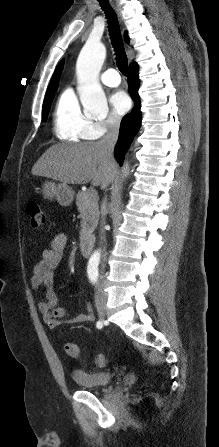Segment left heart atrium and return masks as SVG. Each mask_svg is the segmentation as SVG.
<instances>
[{
  "instance_id": "39dd6f15",
  "label": "left heart atrium",
  "mask_w": 219,
  "mask_h": 447,
  "mask_svg": "<svg viewBox=\"0 0 219 447\" xmlns=\"http://www.w3.org/2000/svg\"><path fill=\"white\" fill-rule=\"evenodd\" d=\"M110 103L118 114H125L131 107L129 96L122 90L114 92L110 97Z\"/></svg>"
}]
</instances>
